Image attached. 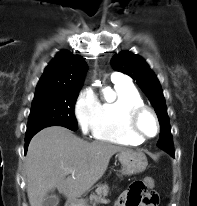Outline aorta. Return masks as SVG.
I'll list each match as a JSON object with an SVG mask.
<instances>
[{
  "label": "aorta",
  "mask_w": 197,
  "mask_h": 206,
  "mask_svg": "<svg viewBox=\"0 0 197 206\" xmlns=\"http://www.w3.org/2000/svg\"><path fill=\"white\" fill-rule=\"evenodd\" d=\"M104 92H105V95H108L111 93V91L108 88L104 89Z\"/></svg>",
  "instance_id": "obj_1"
}]
</instances>
